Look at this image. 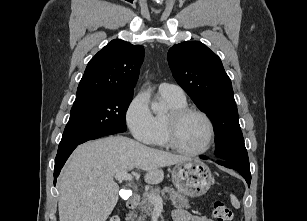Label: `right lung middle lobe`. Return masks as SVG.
<instances>
[{"label":"right lung middle lobe","instance_id":"obj_1","mask_svg":"<svg viewBox=\"0 0 307 221\" xmlns=\"http://www.w3.org/2000/svg\"><path fill=\"white\" fill-rule=\"evenodd\" d=\"M133 93H111L73 103L58 150L92 138L126 131Z\"/></svg>","mask_w":307,"mask_h":221}]
</instances>
